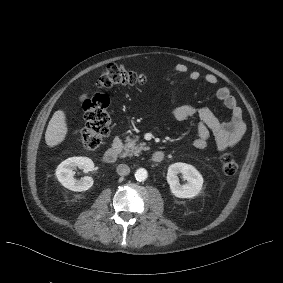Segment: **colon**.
Listing matches in <instances>:
<instances>
[{
	"label": "colon",
	"instance_id": "5ec220e1",
	"mask_svg": "<svg viewBox=\"0 0 283 283\" xmlns=\"http://www.w3.org/2000/svg\"><path fill=\"white\" fill-rule=\"evenodd\" d=\"M146 82L144 74L124 65L110 64L101 72L96 85L100 89H109L118 85H143ZM108 107L109 98L102 93H95L83 102L85 125L77 133L87 150L97 149L109 133L111 117ZM220 163L226 176L234 175L239 168L236 158L230 153L223 154Z\"/></svg>",
	"mask_w": 283,
	"mask_h": 283
}]
</instances>
